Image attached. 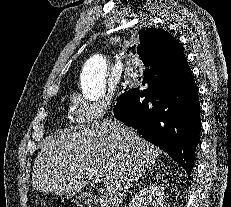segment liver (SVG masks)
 Returning <instances> with one entry per match:
<instances>
[{
	"mask_svg": "<svg viewBox=\"0 0 231 207\" xmlns=\"http://www.w3.org/2000/svg\"><path fill=\"white\" fill-rule=\"evenodd\" d=\"M41 147L33 166V188L72 196L99 179L101 207H119L129 187L162 152L112 118L58 131Z\"/></svg>",
	"mask_w": 231,
	"mask_h": 207,
	"instance_id": "6515ba94",
	"label": "liver"
}]
</instances>
